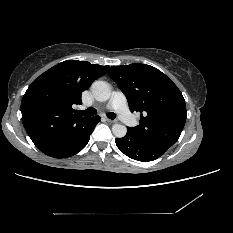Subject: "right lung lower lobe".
Segmentation results:
<instances>
[{"instance_id": "1", "label": "right lung lower lobe", "mask_w": 233, "mask_h": 233, "mask_svg": "<svg viewBox=\"0 0 233 233\" xmlns=\"http://www.w3.org/2000/svg\"><path fill=\"white\" fill-rule=\"evenodd\" d=\"M99 121L100 117L98 115L90 117L70 140L61 147L46 153V155L54 158H67L75 155L87 145L90 135Z\"/></svg>"}]
</instances>
